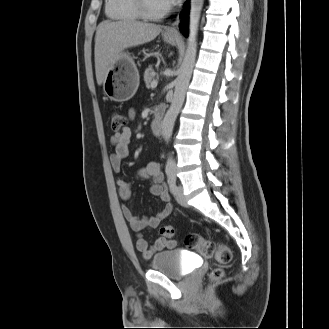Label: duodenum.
Masks as SVG:
<instances>
[{
  "instance_id": "410a0bca",
  "label": "duodenum",
  "mask_w": 329,
  "mask_h": 329,
  "mask_svg": "<svg viewBox=\"0 0 329 329\" xmlns=\"http://www.w3.org/2000/svg\"><path fill=\"white\" fill-rule=\"evenodd\" d=\"M164 109L158 107L154 111L153 119L151 121V130L155 135H160L163 129Z\"/></svg>"
}]
</instances>
